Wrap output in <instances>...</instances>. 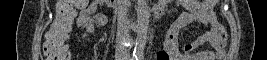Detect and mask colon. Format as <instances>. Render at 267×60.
I'll return each mask as SVG.
<instances>
[{
  "label": "colon",
  "mask_w": 267,
  "mask_h": 60,
  "mask_svg": "<svg viewBox=\"0 0 267 60\" xmlns=\"http://www.w3.org/2000/svg\"><path fill=\"white\" fill-rule=\"evenodd\" d=\"M86 0H59L54 20L45 35L43 51L48 60H70L71 54L65 45L76 15L77 6H84ZM76 24L85 27L84 22Z\"/></svg>",
  "instance_id": "colon-1"
}]
</instances>
